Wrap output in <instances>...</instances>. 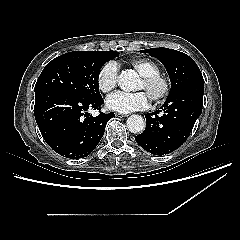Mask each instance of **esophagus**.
Returning <instances> with one entry per match:
<instances>
[{
	"mask_svg": "<svg viewBox=\"0 0 240 240\" xmlns=\"http://www.w3.org/2000/svg\"><path fill=\"white\" fill-rule=\"evenodd\" d=\"M115 116L120 118L128 117V115L119 114V113H116Z\"/></svg>",
	"mask_w": 240,
	"mask_h": 240,
	"instance_id": "1",
	"label": "esophagus"
}]
</instances>
